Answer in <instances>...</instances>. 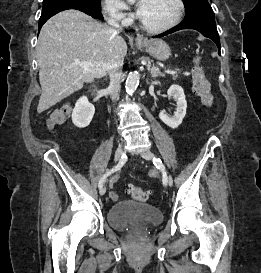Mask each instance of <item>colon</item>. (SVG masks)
<instances>
[{
  "instance_id": "colon-1",
  "label": "colon",
  "mask_w": 261,
  "mask_h": 273,
  "mask_svg": "<svg viewBox=\"0 0 261 273\" xmlns=\"http://www.w3.org/2000/svg\"><path fill=\"white\" fill-rule=\"evenodd\" d=\"M193 88L195 94L201 99L202 103L210 107L213 105L214 99L210 92V85L205 77L203 67L200 63V57L194 59V67L192 70ZM129 194L137 201L146 202L150 199V194L146 189L137 186L129 187Z\"/></svg>"
}]
</instances>
